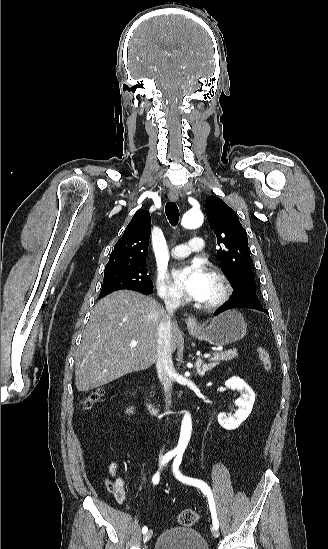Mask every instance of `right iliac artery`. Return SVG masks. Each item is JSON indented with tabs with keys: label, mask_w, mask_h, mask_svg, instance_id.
<instances>
[{
	"label": "right iliac artery",
	"mask_w": 328,
	"mask_h": 549,
	"mask_svg": "<svg viewBox=\"0 0 328 549\" xmlns=\"http://www.w3.org/2000/svg\"><path fill=\"white\" fill-rule=\"evenodd\" d=\"M175 456V453L174 452H169L167 454H165V456L163 457V460H162V465L166 464L169 460H171L173 457ZM159 473H156L153 478H152V481L154 484H158L159 483ZM148 531V528L146 526H144L142 528V533L145 534L146 532Z\"/></svg>",
	"instance_id": "right-iliac-artery-1"
}]
</instances>
